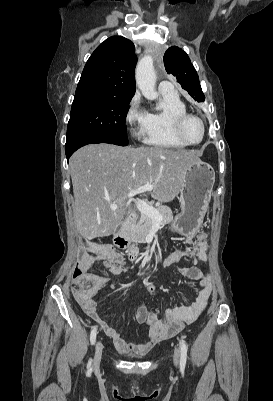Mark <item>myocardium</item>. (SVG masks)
<instances>
[{
    "label": "myocardium",
    "mask_w": 273,
    "mask_h": 401,
    "mask_svg": "<svg viewBox=\"0 0 273 401\" xmlns=\"http://www.w3.org/2000/svg\"><path fill=\"white\" fill-rule=\"evenodd\" d=\"M192 117L197 118L203 127V138L199 142H189L183 137V134H182V127H183L184 123L189 118H192ZM172 130H173V134L176 137V139H178L180 142H182L186 146H199L202 143H204L208 137V128H207L206 121L201 116L194 114V113H189V112L183 113L174 119L173 124H172Z\"/></svg>",
    "instance_id": "f54148a6"
}]
</instances>
